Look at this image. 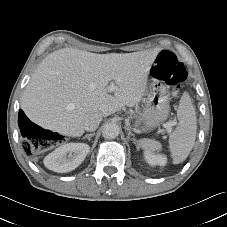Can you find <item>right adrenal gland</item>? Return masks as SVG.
Here are the masks:
<instances>
[{
  "mask_svg": "<svg viewBox=\"0 0 227 227\" xmlns=\"http://www.w3.org/2000/svg\"><path fill=\"white\" fill-rule=\"evenodd\" d=\"M95 135V133H91V134H86L83 139H88L90 141L91 137H93Z\"/></svg>",
  "mask_w": 227,
  "mask_h": 227,
  "instance_id": "right-adrenal-gland-1",
  "label": "right adrenal gland"
}]
</instances>
